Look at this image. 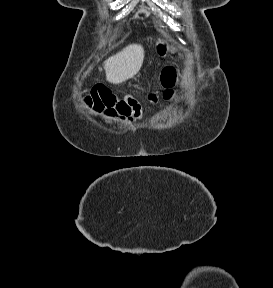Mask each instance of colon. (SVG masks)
<instances>
[{
    "label": "colon",
    "instance_id": "obj_1",
    "mask_svg": "<svg viewBox=\"0 0 273 288\" xmlns=\"http://www.w3.org/2000/svg\"><path fill=\"white\" fill-rule=\"evenodd\" d=\"M159 53L164 55L167 52V46L160 44ZM177 81L175 68L166 67L161 74V82L165 88L163 98L171 101L175 97L174 87ZM150 100L157 101L156 95H151ZM87 105L95 111L104 112L111 117H117L121 120H132L137 116L139 106L130 100L119 97L104 85L95 86L85 98Z\"/></svg>",
    "mask_w": 273,
    "mask_h": 288
}]
</instances>
